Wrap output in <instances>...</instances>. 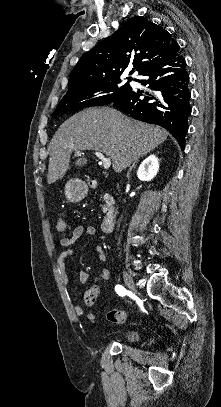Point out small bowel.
Returning a JSON list of instances; mask_svg holds the SVG:
<instances>
[{"label":"small bowel","mask_w":221,"mask_h":407,"mask_svg":"<svg viewBox=\"0 0 221 407\" xmlns=\"http://www.w3.org/2000/svg\"><path fill=\"white\" fill-rule=\"evenodd\" d=\"M84 232L87 235L92 236V237L97 236V230L94 226L77 225L72 229L69 237H63V238L59 239L57 242L56 265H57V269H58V273H59L61 282L64 285L69 284V276L67 273V267H66L65 260L68 257L73 255V249L71 248V246L83 235ZM97 250L100 252V259L104 260L105 256L102 253V249L100 247H98ZM109 275H110L109 270L103 269L98 274H96L93 278H91L85 270H80L77 275V280L79 283H82V284L93 283L95 285V284L99 283L100 281L108 279ZM86 292L84 294V301L86 298ZM98 294H99V292L97 289V297H98ZM73 309H74L75 314L78 316H82L84 314L83 307L78 304H74ZM86 316L89 320H93L95 318L94 313H88Z\"/></svg>","instance_id":"obj_1"}]
</instances>
